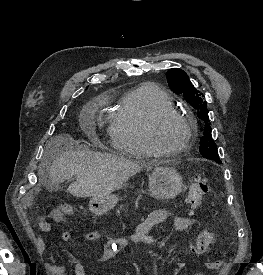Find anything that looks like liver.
I'll list each match as a JSON object with an SVG mask.
<instances>
[{"label":"liver","instance_id":"liver-1","mask_svg":"<svg viewBox=\"0 0 263 275\" xmlns=\"http://www.w3.org/2000/svg\"><path fill=\"white\" fill-rule=\"evenodd\" d=\"M76 141L70 135H57L47 143L46 154L52 162L46 166L51 187L75 177L68 192L76 197H105L122 185L147 164L134 162L111 154L89 150H73ZM45 167V164L43 165ZM43 170L40 171V174Z\"/></svg>","mask_w":263,"mask_h":275}]
</instances>
